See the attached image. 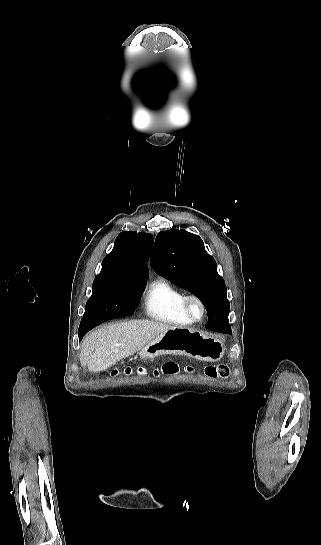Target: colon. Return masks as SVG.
Instances as JSON below:
<instances>
[{
    "label": "colon",
    "instance_id": "5ec220e1",
    "mask_svg": "<svg viewBox=\"0 0 321 545\" xmlns=\"http://www.w3.org/2000/svg\"><path fill=\"white\" fill-rule=\"evenodd\" d=\"M179 365L175 361H167L165 362L161 367L154 369L153 373L154 375L164 374V375H172L176 374L179 371ZM188 371L192 370L191 367L187 368ZM137 372L139 374L145 373L144 368H138ZM205 374L213 379H225L229 376L230 369L229 366L226 364H214V365H208L204 368ZM117 372H112V375H115ZM126 374L131 373V369H127L125 371Z\"/></svg>",
    "mask_w": 321,
    "mask_h": 545
}]
</instances>
